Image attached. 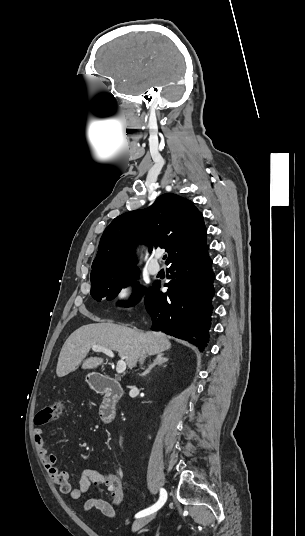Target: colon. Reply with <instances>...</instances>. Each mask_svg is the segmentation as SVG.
<instances>
[{
  "label": "colon",
  "mask_w": 305,
  "mask_h": 536,
  "mask_svg": "<svg viewBox=\"0 0 305 536\" xmlns=\"http://www.w3.org/2000/svg\"><path fill=\"white\" fill-rule=\"evenodd\" d=\"M66 407V402L63 400L55 401L49 405H47L43 411H36L35 417L32 420V423L36 427L44 426L48 422H51V420L58 415L59 413H62V411ZM119 477L116 474L108 475L103 474L100 478L96 480V483L98 485H101L104 483L105 485L112 486L113 490V504L118 506L123 502L124 499V490H123V484L122 482L118 481Z\"/></svg>",
  "instance_id": "5ec220e1"
}]
</instances>
